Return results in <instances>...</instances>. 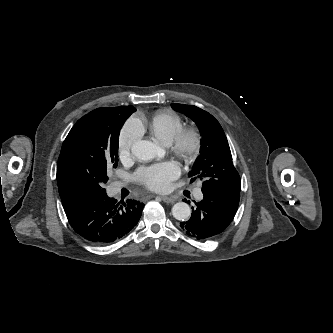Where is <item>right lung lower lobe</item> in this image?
Listing matches in <instances>:
<instances>
[{
  "label": "right lung lower lobe",
  "instance_id": "obj_1",
  "mask_svg": "<svg viewBox=\"0 0 333 333\" xmlns=\"http://www.w3.org/2000/svg\"><path fill=\"white\" fill-rule=\"evenodd\" d=\"M68 221L83 239L110 244L127 235L141 217L144 204L128 199L117 202L105 195L63 203Z\"/></svg>",
  "mask_w": 333,
  "mask_h": 333
}]
</instances>
